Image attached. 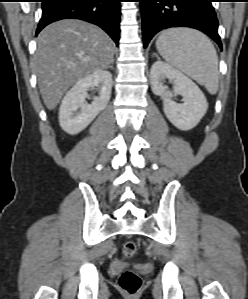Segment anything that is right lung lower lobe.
Masks as SVG:
<instances>
[{
	"mask_svg": "<svg viewBox=\"0 0 248 299\" xmlns=\"http://www.w3.org/2000/svg\"><path fill=\"white\" fill-rule=\"evenodd\" d=\"M121 0H42L36 35L61 19H81L101 27L118 45Z\"/></svg>",
	"mask_w": 248,
	"mask_h": 299,
	"instance_id": "98d812e1",
	"label": "right lung lower lobe"
}]
</instances>
